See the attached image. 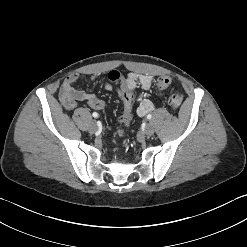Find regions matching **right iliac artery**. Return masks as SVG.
I'll return each mask as SVG.
<instances>
[{
    "mask_svg": "<svg viewBox=\"0 0 247 247\" xmlns=\"http://www.w3.org/2000/svg\"><path fill=\"white\" fill-rule=\"evenodd\" d=\"M92 116H93L94 118H98L99 115H98L97 112H93Z\"/></svg>",
    "mask_w": 247,
    "mask_h": 247,
    "instance_id": "82829eb1",
    "label": "right iliac artery"
}]
</instances>
